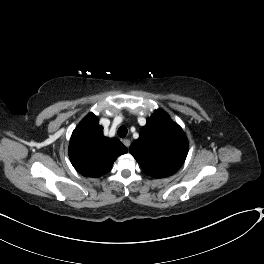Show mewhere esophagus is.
Listing matches in <instances>:
<instances>
[{
    "label": "esophagus",
    "instance_id": "obj_1",
    "mask_svg": "<svg viewBox=\"0 0 264 264\" xmlns=\"http://www.w3.org/2000/svg\"><path fill=\"white\" fill-rule=\"evenodd\" d=\"M123 144L126 146V147H129L130 144H131V141L129 139H124L123 140Z\"/></svg>",
    "mask_w": 264,
    "mask_h": 264
}]
</instances>
